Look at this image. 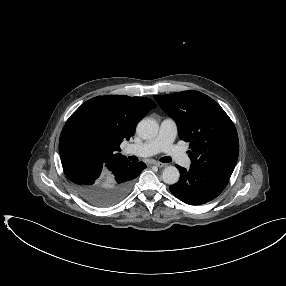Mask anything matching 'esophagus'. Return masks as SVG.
I'll list each match as a JSON object with an SVG mask.
<instances>
[{"label":"esophagus","instance_id":"1","mask_svg":"<svg viewBox=\"0 0 286 286\" xmlns=\"http://www.w3.org/2000/svg\"><path fill=\"white\" fill-rule=\"evenodd\" d=\"M153 164H154L155 166H157V167H160V168L166 167V164L161 163V162H153Z\"/></svg>","mask_w":286,"mask_h":286}]
</instances>
